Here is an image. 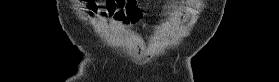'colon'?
I'll return each mask as SVG.
<instances>
[{
  "label": "colon",
  "instance_id": "colon-1",
  "mask_svg": "<svg viewBox=\"0 0 279 82\" xmlns=\"http://www.w3.org/2000/svg\"><path fill=\"white\" fill-rule=\"evenodd\" d=\"M141 17H142V12L139 8H137L135 6H129L126 9L127 22L136 23L141 19Z\"/></svg>",
  "mask_w": 279,
  "mask_h": 82
}]
</instances>
